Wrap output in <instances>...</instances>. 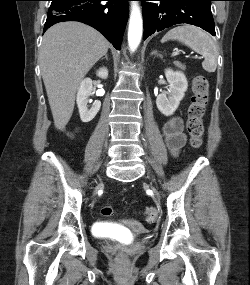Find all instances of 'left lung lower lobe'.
I'll use <instances>...</instances> for the list:
<instances>
[{
  "mask_svg": "<svg viewBox=\"0 0 250 285\" xmlns=\"http://www.w3.org/2000/svg\"><path fill=\"white\" fill-rule=\"evenodd\" d=\"M143 7L144 40L154 32L172 25L187 23L196 25L213 36L215 26L210 3L207 0H140ZM146 1H159L147 3Z\"/></svg>",
  "mask_w": 250,
  "mask_h": 285,
  "instance_id": "left-lung-lower-lobe-1",
  "label": "left lung lower lobe"
}]
</instances>
